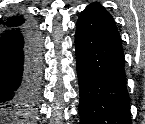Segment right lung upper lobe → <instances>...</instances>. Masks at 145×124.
<instances>
[{"label":"right lung upper lobe","instance_id":"1","mask_svg":"<svg viewBox=\"0 0 145 124\" xmlns=\"http://www.w3.org/2000/svg\"><path fill=\"white\" fill-rule=\"evenodd\" d=\"M0 23L4 28H14L23 26L25 24V20L20 16H12L6 21L1 20Z\"/></svg>","mask_w":145,"mask_h":124}]
</instances>
